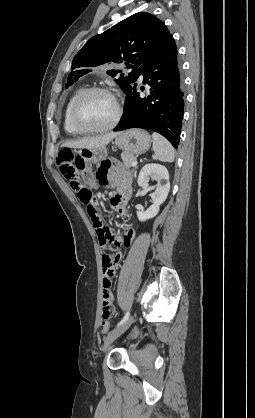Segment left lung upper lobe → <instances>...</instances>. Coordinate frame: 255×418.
Returning a JSON list of instances; mask_svg holds the SVG:
<instances>
[{"label": "left lung upper lobe", "mask_w": 255, "mask_h": 418, "mask_svg": "<svg viewBox=\"0 0 255 418\" xmlns=\"http://www.w3.org/2000/svg\"><path fill=\"white\" fill-rule=\"evenodd\" d=\"M172 39L165 24L146 12L136 13L112 28L88 40L72 61L67 85L90 72L88 67L103 64L124 63L132 71L125 75L122 70H108L124 93L132 84L136 70L152 55L158 53Z\"/></svg>", "instance_id": "obj_1"}]
</instances>
